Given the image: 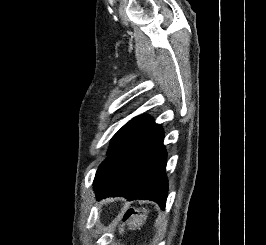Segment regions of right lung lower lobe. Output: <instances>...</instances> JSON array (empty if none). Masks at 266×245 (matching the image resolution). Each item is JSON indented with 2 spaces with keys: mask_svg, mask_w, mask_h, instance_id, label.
I'll list each match as a JSON object with an SVG mask.
<instances>
[{
  "mask_svg": "<svg viewBox=\"0 0 266 245\" xmlns=\"http://www.w3.org/2000/svg\"><path fill=\"white\" fill-rule=\"evenodd\" d=\"M163 137L162 128L150 121L108 155L94 179L97 199L152 200L164 209L168 183Z\"/></svg>",
  "mask_w": 266,
  "mask_h": 245,
  "instance_id": "obj_1",
  "label": "right lung lower lobe"
}]
</instances>
